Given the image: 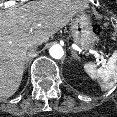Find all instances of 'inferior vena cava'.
<instances>
[{
	"label": "inferior vena cava",
	"mask_w": 117,
	"mask_h": 117,
	"mask_svg": "<svg viewBox=\"0 0 117 117\" xmlns=\"http://www.w3.org/2000/svg\"><path fill=\"white\" fill-rule=\"evenodd\" d=\"M27 53H28L29 56L34 57V56L37 55L38 50H37L36 47L31 46V47L28 48ZM28 55H27V56H28Z\"/></svg>",
	"instance_id": "obj_1"
}]
</instances>
